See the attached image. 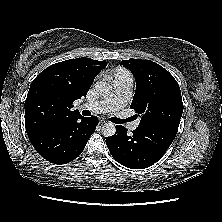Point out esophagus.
Wrapping results in <instances>:
<instances>
[{
    "instance_id": "1",
    "label": "esophagus",
    "mask_w": 222,
    "mask_h": 222,
    "mask_svg": "<svg viewBox=\"0 0 222 222\" xmlns=\"http://www.w3.org/2000/svg\"><path fill=\"white\" fill-rule=\"evenodd\" d=\"M107 121H105L104 119H101L100 121H99V123L100 124H105Z\"/></svg>"
}]
</instances>
